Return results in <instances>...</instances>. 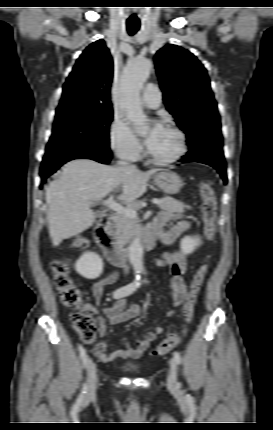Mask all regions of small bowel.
Listing matches in <instances>:
<instances>
[{"instance_id":"1","label":"small bowel","mask_w":273,"mask_h":430,"mask_svg":"<svg viewBox=\"0 0 273 430\" xmlns=\"http://www.w3.org/2000/svg\"><path fill=\"white\" fill-rule=\"evenodd\" d=\"M172 218V215L168 212H164L160 215L159 224L163 225ZM189 222L180 221L178 224L170 230H158L154 228L152 233H155L165 245L173 244L176 239L188 229ZM155 264L158 267L168 268L171 281V296L172 304L177 307L180 306L186 296V285L183 280V275L186 271V260L181 252H166L161 258L155 259ZM118 278V273L113 272L99 279L92 287V293L97 301H100L103 297L104 288L106 285L115 282ZM102 311L105 318L111 324H120L130 320H133L142 312V308L137 304H127L122 298L116 299L111 305L103 306ZM174 315L173 310L167 312L168 317ZM99 332L101 336L106 334V325L104 317L99 318ZM164 332V328L155 327L152 331H147L142 336L136 339V343L132 345L127 339H124V348L116 349L114 351H108V345L105 341H100L94 348L95 356L102 362H110L114 359L121 358H140L150 347V345L156 340L157 336Z\"/></svg>"}]
</instances>
